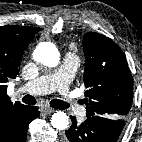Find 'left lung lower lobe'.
<instances>
[{
    "label": "left lung lower lobe",
    "mask_w": 142,
    "mask_h": 142,
    "mask_svg": "<svg viewBox=\"0 0 142 142\" xmlns=\"http://www.w3.org/2000/svg\"><path fill=\"white\" fill-rule=\"evenodd\" d=\"M72 125L65 131L68 142H116L125 125L124 119H111L101 116H91L77 124L71 116Z\"/></svg>",
    "instance_id": "left-lung-lower-lobe-1"
}]
</instances>
